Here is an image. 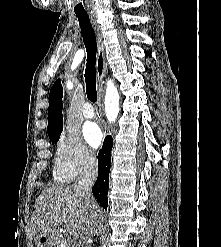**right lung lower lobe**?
<instances>
[{
  "label": "right lung lower lobe",
  "mask_w": 221,
  "mask_h": 247,
  "mask_svg": "<svg viewBox=\"0 0 221 247\" xmlns=\"http://www.w3.org/2000/svg\"><path fill=\"white\" fill-rule=\"evenodd\" d=\"M112 147V137L107 136L104 140L102 149L98 154V178L92 188L94 197L105 209H107L108 204L107 194L109 189V172Z\"/></svg>",
  "instance_id": "98d812e1"
}]
</instances>
